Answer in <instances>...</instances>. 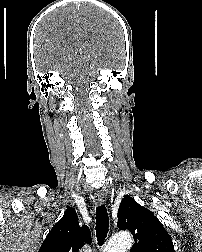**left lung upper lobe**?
<instances>
[{"label":"left lung upper lobe","mask_w":202,"mask_h":252,"mask_svg":"<svg viewBox=\"0 0 202 252\" xmlns=\"http://www.w3.org/2000/svg\"><path fill=\"white\" fill-rule=\"evenodd\" d=\"M118 227L132 232L136 242L130 252H175L171 237L151 211L124 196L118 210Z\"/></svg>","instance_id":"5c2ea615"}]
</instances>
